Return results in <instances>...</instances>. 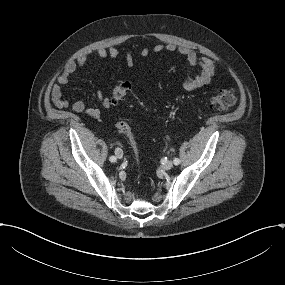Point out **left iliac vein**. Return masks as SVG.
<instances>
[{
  "label": "left iliac vein",
  "instance_id": "1",
  "mask_svg": "<svg viewBox=\"0 0 285 285\" xmlns=\"http://www.w3.org/2000/svg\"><path fill=\"white\" fill-rule=\"evenodd\" d=\"M162 167L165 169V170H170L172 167H173V163L172 161H166Z\"/></svg>",
  "mask_w": 285,
  "mask_h": 285
}]
</instances>
